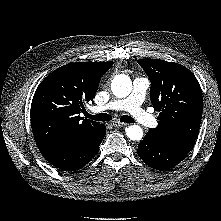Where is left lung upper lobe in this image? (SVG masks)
I'll return each instance as SVG.
<instances>
[{
  "label": "left lung upper lobe",
  "mask_w": 221,
  "mask_h": 221,
  "mask_svg": "<svg viewBox=\"0 0 221 221\" xmlns=\"http://www.w3.org/2000/svg\"><path fill=\"white\" fill-rule=\"evenodd\" d=\"M151 81L150 99L159 111L158 126L147 136L153 141L189 152L198 136L203 98L196 77L186 67L157 59H140Z\"/></svg>",
  "instance_id": "obj_1"
}]
</instances>
